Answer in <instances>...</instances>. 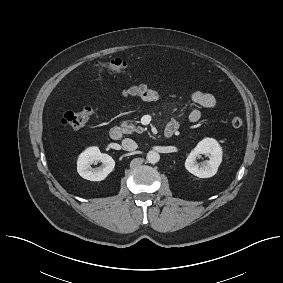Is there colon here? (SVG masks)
I'll return each mask as SVG.
<instances>
[{
	"label": "colon",
	"instance_id": "obj_1",
	"mask_svg": "<svg viewBox=\"0 0 283 283\" xmlns=\"http://www.w3.org/2000/svg\"><path fill=\"white\" fill-rule=\"evenodd\" d=\"M101 68H105L113 72L123 73L128 70L129 65L126 61L116 58L101 64ZM94 114L95 108L92 106H86L79 111L65 113L60 122L68 129L78 130L84 127L91 120ZM231 124L234 128H240L243 126L244 121L241 117L234 116L231 119Z\"/></svg>",
	"mask_w": 283,
	"mask_h": 283
}]
</instances>
